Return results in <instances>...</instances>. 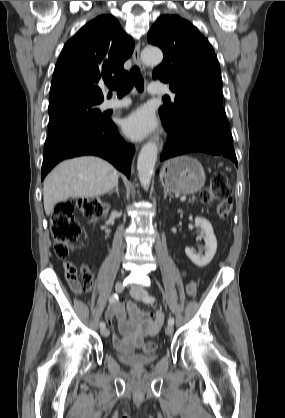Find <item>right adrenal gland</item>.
<instances>
[{
  "label": "right adrenal gland",
  "mask_w": 285,
  "mask_h": 418,
  "mask_svg": "<svg viewBox=\"0 0 285 418\" xmlns=\"http://www.w3.org/2000/svg\"><path fill=\"white\" fill-rule=\"evenodd\" d=\"M114 192L117 193V195L119 196V191H118V184H116L115 188L113 190L110 191V195L113 194Z\"/></svg>",
  "instance_id": "1"
}]
</instances>
